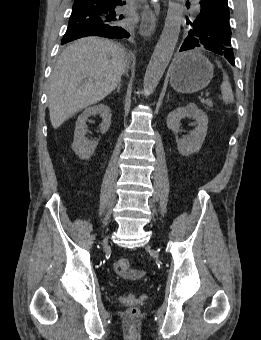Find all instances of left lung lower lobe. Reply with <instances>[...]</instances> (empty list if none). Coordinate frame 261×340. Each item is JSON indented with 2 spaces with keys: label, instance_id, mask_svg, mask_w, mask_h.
<instances>
[{
  "label": "left lung lower lobe",
  "instance_id": "1",
  "mask_svg": "<svg viewBox=\"0 0 261 340\" xmlns=\"http://www.w3.org/2000/svg\"><path fill=\"white\" fill-rule=\"evenodd\" d=\"M199 10L200 12L198 16L192 22H195L200 26L216 19H229L227 0H200ZM188 23H190V21H188ZM201 44V41L196 36H187L180 48V51L201 47ZM224 57L231 63V65H235L233 50L226 53Z\"/></svg>",
  "mask_w": 261,
  "mask_h": 340
}]
</instances>
